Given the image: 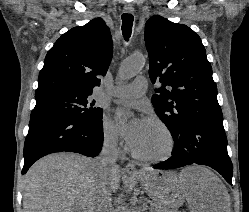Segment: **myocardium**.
Returning a JSON list of instances; mask_svg holds the SVG:
<instances>
[{
	"mask_svg": "<svg viewBox=\"0 0 249 212\" xmlns=\"http://www.w3.org/2000/svg\"><path fill=\"white\" fill-rule=\"evenodd\" d=\"M146 121L150 123H154L161 128V130L164 132V134L166 135L168 139V149L164 154L158 155V156H141L133 152L132 153L133 158L142 163H157V162H163V161L170 159L174 155L176 151V147H177L176 138L172 130L163 120H161L158 117L151 116V117L146 118Z\"/></svg>",
	"mask_w": 249,
	"mask_h": 212,
	"instance_id": "obj_1",
	"label": "myocardium"
}]
</instances>
